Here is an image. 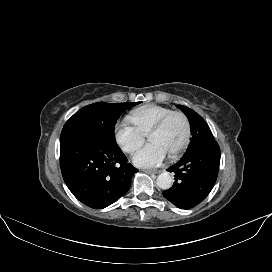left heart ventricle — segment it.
Masks as SVG:
<instances>
[{"mask_svg": "<svg viewBox=\"0 0 272 272\" xmlns=\"http://www.w3.org/2000/svg\"><path fill=\"white\" fill-rule=\"evenodd\" d=\"M184 134V121L179 117H175L163 130L150 133L147 138L150 142H156L166 154H169L180 144Z\"/></svg>", "mask_w": 272, "mask_h": 272, "instance_id": "obj_1", "label": "left heart ventricle"}]
</instances>
